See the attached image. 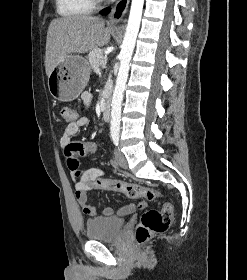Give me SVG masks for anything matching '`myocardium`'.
Instances as JSON below:
<instances>
[{
	"instance_id": "1",
	"label": "myocardium",
	"mask_w": 247,
	"mask_h": 280,
	"mask_svg": "<svg viewBox=\"0 0 247 280\" xmlns=\"http://www.w3.org/2000/svg\"><path fill=\"white\" fill-rule=\"evenodd\" d=\"M99 1H101V0H93V2H99Z\"/></svg>"
}]
</instances>
